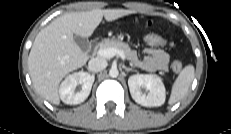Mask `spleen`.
<instances>
[{
  "label": "spleen",
  "mask_w": 231,
  "mask_h": 134,
  "mask_svg": "<svg viewBox=\"0 0 231 134\" xmlns=\"http://www.w3.org/2000/svg\"><path fill=\"white\" fill-rule=\"evenodd\" d=\"M195 69L193 65H187L176 78L169 98V104H175L187 94L189 87L194 79Z\"/></svg>",
  "instance_id": "spleen-1"
}]
</instances>
